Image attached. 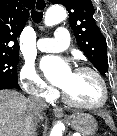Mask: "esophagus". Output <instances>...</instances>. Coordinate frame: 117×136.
<instances>
[{
    "label": "esophagus",
    "instance_id": "obj_1",
    "mask_svg": "<svg viewBox=\"0 0 117 136\" xmlns=\"http://www.w3.org/2000/svg\"><path fill=\"white\" fill-rule=\"evenodd\" d=\"M37 3L39 4V6L41 8L39 10L36 8L38 11H45L46 10V8H47L46 0H36V5H37ZM53 112H54V115L57 116V117H63L64 116L63 110L60 109V108L55 107L53 109Z\"/></svg>",
    "mask_w": 117,
    "mask_h": 136
}]
</instances>
